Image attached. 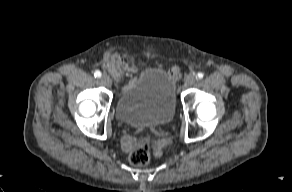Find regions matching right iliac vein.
Instances as JSON below:
<instances>
[{
  "label": "right iliac vein",
  "instance_id": "obj_1",
  "mask_svg": "<svg viewBox=\"0 0 292 192\" xmlns=\"http://www.w3.org/2000/svg\"><path fill=\"white\" fill-rule=\"evenodd\" d=\"M101 82L107 87H110L112 85V81H111L110 77H108L105 74L101 77Z\"/></svg>",
  "mask_w": 292,
  "mask_h": 192
}]
</instances>
